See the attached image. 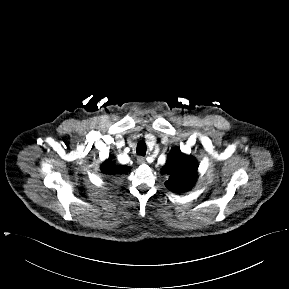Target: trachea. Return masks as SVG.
<instances>
[{
    "label": "trachea",
    "instance_id": "obj_1",
    "mask_svg": "<svg viewBox=\"0 0 289 289\" xmlns=\"http://www.w3.org/2000/svg\"><path fill=\"white\" fill-rule=\"evenodd\" d=\"M146 144L144 141H140L137 144L136 152L138 155L144 156L146 154Z\"/></svg>",
    "mask_w": 289,
    "mask_h": 289
}]
</instances>
